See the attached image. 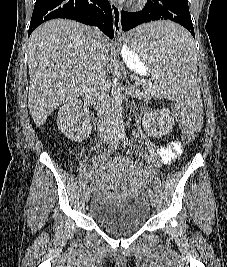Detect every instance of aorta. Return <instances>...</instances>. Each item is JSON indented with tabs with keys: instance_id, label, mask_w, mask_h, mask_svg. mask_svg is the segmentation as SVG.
Wrapping results in <instances>:
<instances>
[{
	"instance_id": "762f6f07",
	"label": "aorta",
	"mask_w": 227,
	"mask_h": 267,
	"mask_svg": "<svg viewBox=\"0 0 227 267\" xmlns=\"http://www.w3.org/2000/svg\"><path fill=\"white\" fill-rule=\"evenodd\" d=\"M119 76L120 73L117 71L113 74V82L111 88L112 120L115 127H121L123 124L121 90L120 83L118 81Z\"/></svg>"
}]
</instances>
